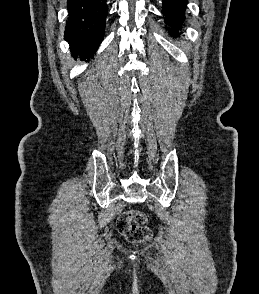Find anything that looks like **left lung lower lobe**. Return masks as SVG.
Returning <instances> with one entry per match:
<instances>
[{"label":"left lung lower lobe","instance_id":"left-lung-lower-lobe-1","mask_svg":"<svg viewBox=\"0 0 259 294\" xmlns=\"http://www.w3.org/2000/svg\"><path fill=\"white\" fill-rule=\"evenodd\" d=\"M187 0H163L162 13L165 17V23L169 32L173 36L178 35V30L181 29V24L185 16Z\"/></svg>","mask_w":259,"mask_h":294}]
</instances>
